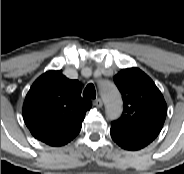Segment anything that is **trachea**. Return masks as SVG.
Masks as SVG:
<instances>
[{
  "mask_svg": "<svg viewBox=\"0 0 184 174\" xmlns=\"http://www.w3.org/2000/svg\"><path fill=\"white\" fill-rule=\"evenodd\" d=\"M83 96L90 99L96 98V91L93 84H88L84 89Z\"/></svg>",
  "mask_w": 184,
  "mask_h": 174,
  "instance_id": "1",
  "label": "trachea"
}]
</instances>
